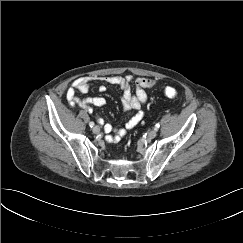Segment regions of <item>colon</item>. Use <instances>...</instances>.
<instances>
[{
	"label": "colon",
	"instance_id": "colon-1",
	"mask_svg": "<svg viewBox=\"0 0 243 243\" xmlns=\"http://www.w3.org/2000/svg\"><path fill=\"white\" fill-rule=\"evenodd\" d=\"M164 94L169 98H175L178 95V92L175 88L167 86L164 88Z\"/></svg>",
	"mask_w": 243,
	"mask_h": 243
}]
</instances>
